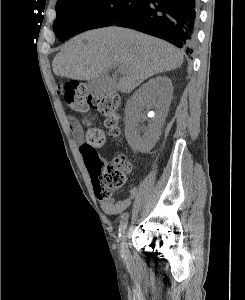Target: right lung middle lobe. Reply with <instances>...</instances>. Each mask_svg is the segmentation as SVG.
I'll return each mask as SVG.
<instances>
[{"instance_id":"right-lung-middle-lobe-1","label":"right lung middle lobe","mask_w":245,"mask_h":300,"mask_svg":"<svg viewBox=\"0 0 245 300\" xmlns=\"http://www.w3.org/2000/svg\"><path fill=\"white\" fill-rule=\"evenodd\" d=\"M147 0H58L53 30L64 41L80 32L110 26Z\"/></svg>"}]
</instances>
